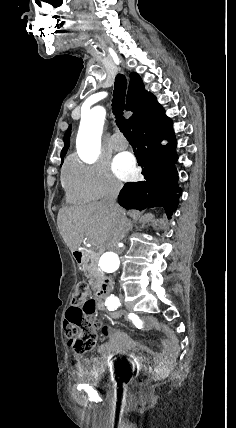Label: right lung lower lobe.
<instances>
[{
	"label": "right lung lower lobe",
	"instance_id": "obj_1",
	"mask_svg": "<svg viewBox=\"0 0 236 428\" xmlns=\"http://www.w3.org/2000/svg\"><path fill=\"white\" fill-rule=\"evenodd\" d=\"M171 127L172 121L162 109L132 128L137 147L135 156L145 180L124 185L118 197L122 207L137 210L162 207L168 219L177 209L181 189L174 167L178 157ZM163 139L169 140V144L161 145Z\"/></svg>",
	"mask_w": 236,
	"mask_h": 428
}]
</instances>
